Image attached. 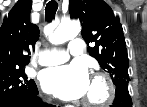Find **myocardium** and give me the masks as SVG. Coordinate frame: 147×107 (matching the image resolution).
Masks as SVG:
<instances>
[{"label":"myocardium","instance_id":"obj_1","mask_svg":"<svg viewBox=\"0 0 147 107\" xmlns=\"http://www.w3.org/2000/svg\"><path fill=\"white\" fill-rule=\"evenodd\" d=\"M92 82L99 83L102 92L100 97L84 99L83 103L88 106H103L112 102L115 96V86L113 82L104 74H96L92 77Z\"/></svg>","mask_w":147,"mask_h":107}]
</instances>
